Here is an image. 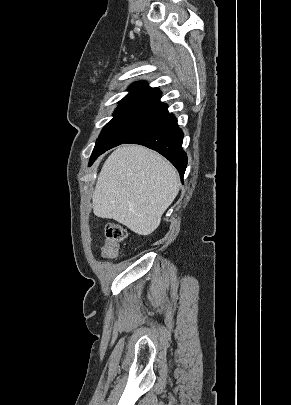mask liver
<instances>
[{
  "mask_svg": "<svg viewBox=\"0 0 291 405\" xmlns=\"http://www.w3.org/2000/svg\"><path fill=\"white\" fill-rule=\"evenodd\" d=\"M180 188L176 169L158 153L123 145L107 158L93 195L97 217L113 219L138 235H149Z\"/></svg>",
  "mask_w": 291,
  "mask_h": 405,
  "instance_id": "6515ba94",
  "label": "liver"
}]
</instances>
